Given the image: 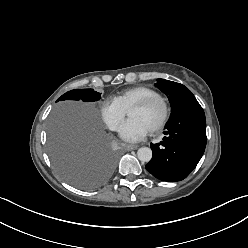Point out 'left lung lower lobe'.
<instances>
[{
    "label": "left lung lower lobe",
    "mask_w": 248,
    "mask_h": 248,
    "mask_svg": "<svg viewBox=\"0 0 248 248\" xmlns=\"http://www.w3.org/2000/svg\"><path fill=\"white\" fill-rule=\"evenodd\" d=\"M166 135L151 143L153 157L145 168L163 181H181L196 167L206 147L205 114L196 100H187L168 120Z\"/></svg>",
    "instance_id": "obj_1"
}]
</instances>
